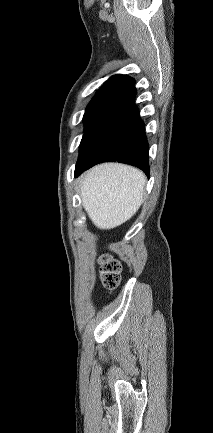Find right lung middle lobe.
I'll use <instances>...</instances> for the list:
<instances>
[{
  "label": "right lung middle lobe",
  "instance_id": "obj_1",
  "mask_svg": "<svg viewBox=\"0 0 213 433\" xmlns=\"http://www.w3.org/2000/svg\"><path fill=\"white\" fill-rule=\"evenodd\" d=\"M115 98V96L106 95L94 97L88 104L83 117L85 130L88 128L94 118Z\"/></svg>",
  "mask_w": 213,
  "mask_h": 433
}]
</instances>
